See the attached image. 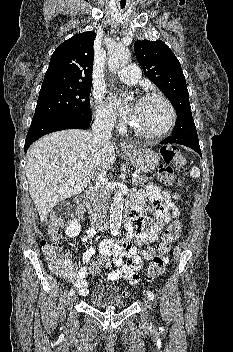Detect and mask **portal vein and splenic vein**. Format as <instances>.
Returning a JSON list of instances; mask_svg holds the SVG:
<instances>
[{
	"mask_svg": "<svg viewBox=\"0 0 233 352\" xmlns=\"http://www.w3.org/2000/svg\"><path fill=\"white\" fill-rule=\"evenodd\" d=\"M137 176H138V175H137L136 173H133V174H132V177H133V178H136Z\"/></svg>",
	"mask_w": 233,
	"mask_h": 352,
	"instance_id": "portal-vein-and-splenic-vein-1",
	"label": "portal vein and splenic vein"
}]
</instances>
